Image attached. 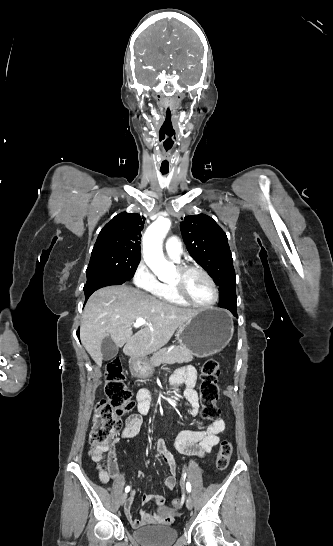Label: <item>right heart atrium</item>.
<instances>
[{
    "label": "right heart atrium",
    "instance_id": "1",
    "mask_svg": "<svg viewBox=\"0 0 333 546\" xmlns=\"http://www.w3.org/2000/svg\"><path fill=\"white\" fill-rule=\"evenodd\" d=\"M133 283L137 288L154 296H159L163 289V284L156 278L145 261H141L136 267L133 274Z\"/></svg>",
    "mask_w": 333,
    "mask_h": 546
}]
</instances>
